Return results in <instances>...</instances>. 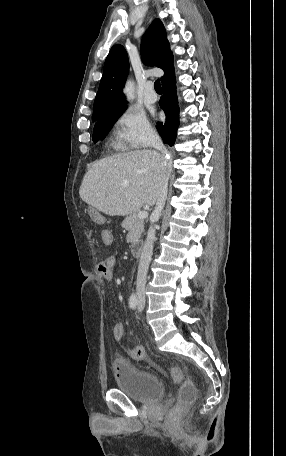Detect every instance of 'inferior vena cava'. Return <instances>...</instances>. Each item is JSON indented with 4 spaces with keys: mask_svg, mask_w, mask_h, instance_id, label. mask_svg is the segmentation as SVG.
I'll return each instance as SVG.
<instances>
[{
    "mask_svg": "<svg viewBox=\"0 0 286 456\" xmlns=\"http://www.w3.org/2000/svg\"><path fill=\"white\" fill-rule=\"evenodd\" d=\"M151 146L156 150L160 151L161 154L164 156V167H165V175L162 178L159 189H158V198L156 202L155 209L153 211V220L154 222L157 221L161 215V212L164 208L166 199H167V191H168V173H169V160L166 157L167 151L157 134H153L150 139ZM153 224V223H152ZM150 225L147 237L144 242V246L141 252L140 261L138 265V273H137V280H136V294L138 297L145 296V285H146V278L147 272L149 268V264L151 261V256L153 253V243L156 239L155 237V229L153 225Z\"/></svg>",
    "mask_w": 286,
    "mask_h": 456,
    "instance_id": "1",
    "label": "inferior vena cava"
}]
</instances>
